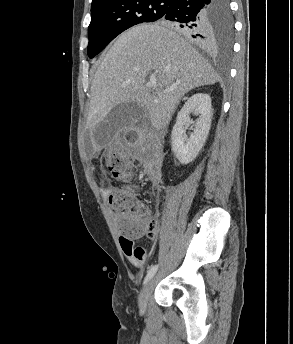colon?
I'll use <instances>...</instances> for the list:
<instances>
[{
  "label": "colon",
  "instance_id": "1",
  "mask_svg": "<svg viewBox=\"0 0 293 344\" xmlns=\"http://www.w3.org/2000/svg\"><path fill=\"white\" fill-rule=\"evenodd\" d=\"M134 139V135L130 134ZM104 162L116 179L130 181L133 169L127 159L117 151H109L104 156ZM109 204L116 214L122 232L128 237L147 235L152 237L155 233V222L151 219L149 210L134 198L128 187H119L109 195Z\"/></svg>",
  "mask_w": 293,
  "mask_h": 344
}]
</instances>
